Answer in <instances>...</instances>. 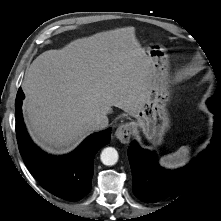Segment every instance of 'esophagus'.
I'll list each match as a JSON object with an SVG mask.
<instances>
[{
  "instance_id": "esophagus-1",
  "label": "esophagus",
  "mask_w": 221,
  "mask_h": 221,
  "mask_svg": "<svg viewBox=\"0 0 221 221\" xmlns=\"http://www.w3.org/2000/svg\"><path fill=\"white\" fill-rule=\"evenodd\" d=\"M116 138L124 144L129 143L132 136V126L130 123L120 125L115 131Z\"/></svg>"
}]
</instances>
